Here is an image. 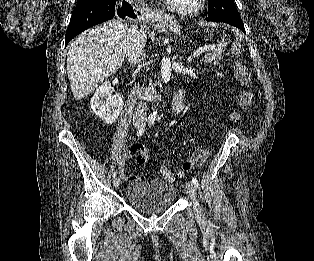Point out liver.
Returning a JSON list of instances; mask_svg holds the SVG:
<instances>
[{"label": "liver", "instance_id": "6515ba94", "mask_svg": "<svg viewBox=\"0 0 314 261\" xmlns=\"http://www.w3.org/2000/svg\"><path fill=\"white\" fill-rule=\"evenodd\" d=\"M127 31V25L114 19L86 30L69 46L67 73L75 99L92 93L122 67ZM146 39L144 32V45Z\"/></svg>", "mask_w": 314, "mask_h": 261}]
</instances>
